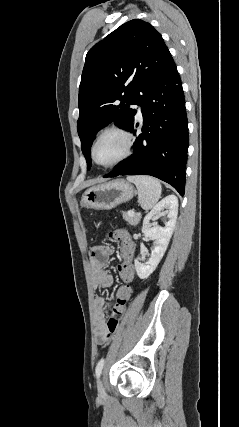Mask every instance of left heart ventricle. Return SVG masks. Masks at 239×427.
I'll return each instance as SVG.
<instances>
[{
	"label": "left heart ventricle",
	"mask_w": 239,
	"mask_h": 427,
	"mask_svg": "<svg viewBox=\"0 0 239 427\" xmlns=\"http://www.w3.org/2000/svg\"><path fill=\"white\" fill-rule=\"evenodd\" d=\"M124 150V138L117 133H108L97 143L95 158L101 164H108L118 159Z\"/></svg>",
	"instance_id": "b2bd125f"
}]
</instances>
